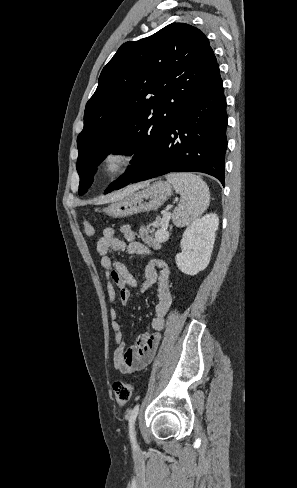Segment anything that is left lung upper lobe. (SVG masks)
Returning <instances> with one entry per match:
<instances>
[{"label":"left lung upper lobe","mask_w":297,"mask_h":488,"mask_svg":"<svg viewBox=\"0 0 297 488\" xmlns=\"http://www.w3.org/2000/svg\"><path fill=\"white\" fill-rule=\"evenodd\" d=\"M220 77L207 37L196 27L172 23L157 33L120 46L103 68L87 102L78 135L79 194L112 151L135 154L125 174L107 190L135 177L182 113Z\"/></svg>","instance_id":"left-lung-upper-lobe-1"}]
</instances>
